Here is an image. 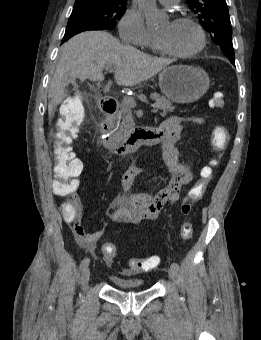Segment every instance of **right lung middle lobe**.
<instances>
[{"label":"right lung middle lobe","mask_w":261,"mask_h":340,"mask_svg":"<svg viewBox=\"0 0 261 340\" xmlns=\"http://www.w3.org/2000/svg\"><path fill=\"white\" fill-rule=\"evenodd\" d=\"M125 5L126 3L96 1L75 3L68 24L85 22L93 24L101 30H111L115 27L116 21L125 13Z\"/></svg>","instance_id":"right-lung-middle-lobe-1"}]
</instances>
